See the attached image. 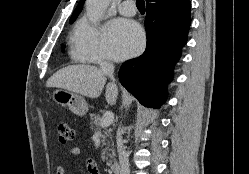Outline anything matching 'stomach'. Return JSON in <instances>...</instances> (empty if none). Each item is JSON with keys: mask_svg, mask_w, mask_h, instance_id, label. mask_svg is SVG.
Segmentation results:
<instances>
[{"mask_svg": "<svg viewBox=\"0 0 249 174\" xmlns=\"http://www.w3.org/2000/svg\"><path fill=\"white\" fill-rule=\"evenodd\" d=\"M52 98L57 104L69 107L76 115L83 116L88 111V104L85 99L71 91L57 89L53 92Z\"/></svg>", "mask_w": 249, "mask_h": 174, "instance_id": "obj_1", "label": "stomach"}]
</instances>
